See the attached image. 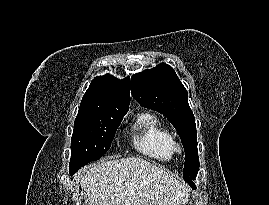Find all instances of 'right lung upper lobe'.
<instances>
[{"label": "right lung upper lobe", "instance_id": "right-lung-upper-lobe-1", "mask_svg": "<svg viewBox=\"0 0 269 205\" xmlns=\"http://www.w3.org/2000/svg\"><path fill=\"white\" fill-rule=\"evenodd\" d=\"M130 105V78L95 77L85 92L78 115L121 116Z\"/></svg>", "mask_w": 269, "mask_h": 205}]
</instances>
